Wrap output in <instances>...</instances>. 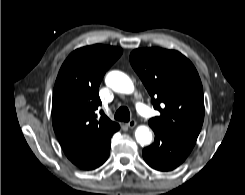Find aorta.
I'll return each instance as SVG.
<instances>
[{
    "label": "aorta",
    "instance_id": "1",
    "mask_svg": "<svg viewBox=\"0 0 245 195\" xmlns=\"http://www.w3.org/2000/svg\"><path fill=\"white\" fill-rule=\"evenodd\" d=\"M106 85L118 93L130 94L134 91L131 79L120 71H111L105 78ZM136 141L141 146L149 145L152 141V133L146 126H139L135 131Z\"/></svg>",
    "mask_w": 245,
    "mask_h": 195
}]
</instances>
